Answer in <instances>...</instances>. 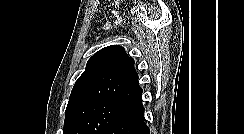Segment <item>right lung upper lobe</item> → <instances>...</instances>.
<instances>
[{
  "label": "right lung upper lobe",
  "mask_w": 244,
  "mask_h": 134,
  "mask_svg": "<svg viewBox=\"0 0 244 134\" xmlns=\"http://www.w3.org/2000/svg\"><path fill=\"white\" fill-rule=\"evenodd\" d=\"M141 95L133 58L123 47L111 45L96 52L87 62L86 70L71 91L65 116L86 101L104 98L135 101Z\"/></svg>",
  "instance_id": "right-lung-upper-lobe-1"
}]
</instances>
